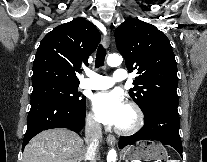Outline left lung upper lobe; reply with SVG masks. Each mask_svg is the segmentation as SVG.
I'll use <instances>...</instances> for the list:
<instances>
[{
	"label": "left lung upper lobe",
	"instance_id": "5c2ea615",
	"mask_svg": "<svg viewBox=\"0 0 207 162\" xmlns=\"http://www.w3.org/2000/svg\"><path fill=\"white\" fill-rule=\"evenodd\" d=\"M115 32L117 49L128 70H137L130 96L143 113L156 101L178 102L177 65L168 38L135 18H127Z\"/></svg>",
	"mask_w": 207,
	"mask_h": 162
}]
</instances>
